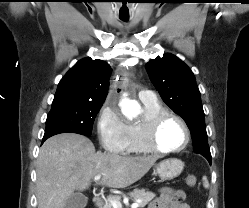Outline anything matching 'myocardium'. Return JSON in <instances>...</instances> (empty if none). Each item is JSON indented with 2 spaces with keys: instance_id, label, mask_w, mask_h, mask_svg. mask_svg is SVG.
I'll return each mask as SVG.
<instances>
[{
  "instance_id": "f54148a6",
  "label": "myocardium",
  "mask_w": 249,
  "mask_h": 208,
  "mask_svg": "<svg viewBox=\"0 0 249 208\" xmlns=\"http://www.w3.org/2000/svg\"><path fill=\"white\" fill-rule=\"evenodd\" d=\"M169 119H174L182 125L185 131V141L182 144V146L178 148L164 149L157 144L156 137L162 125ZM190 141H191V131L188 124L185 122V120L182 117L168 111L162 112L152 117L144 124L142 129L141 144L143 149L147 153H156V154L178 153L185 150L189 145Z\"/></svg>"
}]
</instances>
